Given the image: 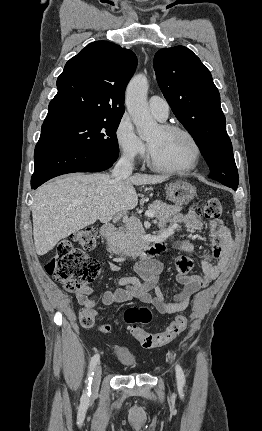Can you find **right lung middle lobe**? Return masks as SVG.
<instances>
[{
	"mask_svg": "<svg viewBox=\"0 0 262 431\" xmlns=\"http://www.w3.org/2000/svg\"><path fill=\"white\" fill-rule=\"evenodd\" d=\"M122 117H90L42 125L39 140L80 146L110 158H118L116 130Z\"/></svg>",
	"mask_w": 262,
	"mask_h": 431,
	"instance_id": "obj_1",
	"label": "right lung middle lobe"
}]
</instances>
